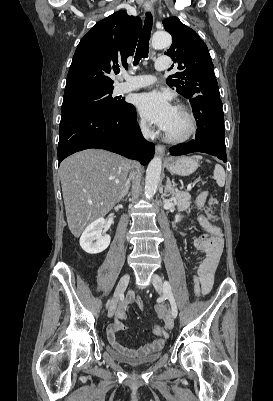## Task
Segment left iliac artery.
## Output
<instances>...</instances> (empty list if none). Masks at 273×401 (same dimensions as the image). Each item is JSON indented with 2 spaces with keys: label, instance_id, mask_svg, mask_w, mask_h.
Masks as SVG:
<instances>
[{
  "label": "left iliac artery",
  "instance_id": "1",
  "mask_svg": "<svg viewBox=\"0 0 273 401\" xmlns=\"http://www.w3.org/2000/svg\"><path fill=\"white\" fill-rule=\"evenodd\" d=\"M163 289H164L167 299L169 300V302L171 304L172 316L175 318L178 314V310H177V305H176L173 293L171 291L170 283L168 281L164 282Z\"/></svg>",
  "mask_w": 273,
  "mask_h": 401
}]
</instances>
